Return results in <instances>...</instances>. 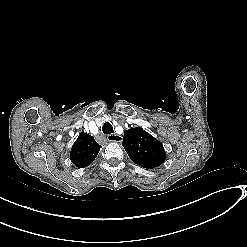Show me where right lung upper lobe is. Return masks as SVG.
I'll list each match as a JSON object with an SVG mask.
<instances>
[{
  "mask_svg": "<svg viewBox=\"0 0 247 247\" xmlns=\"http://www.w3.org/2000/svg\"><path fill=\"white\" fill-rule=\"evenodd\" d=\"M101 147L92 136L82 132L71 148L70 159L78 168L87 167L94 161Z\"/></svg>",
  "mask_w": 247,
  "mask_h": 247,
  "instance_id": "cb5924a9",
  "label": "right lung upper lobe"
}]
</instances>
